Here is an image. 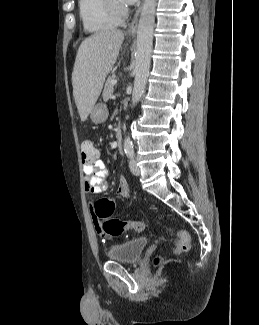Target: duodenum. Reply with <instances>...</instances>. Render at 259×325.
Returning a JSON list of instances; mask_svg holds the SVG:
<instances>
[{"label":"duodenum","instance_id":"duodenum-1","mask_svg":"<svg viewBox=\"0 0 259 325\" xmlns=\"http://www.w3.org/2000/svg\"><path fill=\"white\" fill-rule=\"evenodd\" d=\"M116 143H117V147L118 149L122 148L123 145V139H122V133L120 128H117V132H116Z\"/></svg>","mask_w":259,"mask_h":325}]
</instances>
